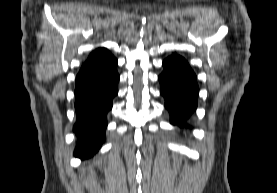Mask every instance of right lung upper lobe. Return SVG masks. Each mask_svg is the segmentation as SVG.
Returning <instances> with one entry per match:
<instances>
[{
    "label": "right lung upper lobe",
    "mask_w": 277,
    "mask_h": 193,
    "mask_svg": "<svg viewBox=\"0 0 277 193\" xmlns=\"http://www.w3.org/2000/svg\"><path fill=\"white\" fill-rule=\"evenodd\" d=\"M105 50H106L105 48L96 49L95 51H93V52L90 54L89 58H91V57H93V56H95V55H97V54H99V53H101V52H103V51H105Z\"/></svg>",
    "instance_id": "1"
}]
</instances>
